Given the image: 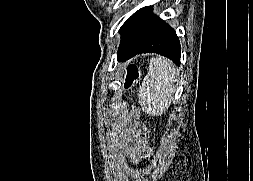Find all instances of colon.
<instances>
[{"label": "colon", "instance_id": "obj_1", "mask_svg": "<svg viewBox=\"0 0 253 181\" xmlns=\"http://www.w3.org/2000/svg\"><path fill=\"white\" fill-rule=\"evenodd\" d=\"M139 75H140V72H139L138 66L135 64H130L127 67V76L124 82V86L126 88L131 87L135 83V81L138 79Z\"/></svg>", "mask_w": 253, "mask_h": 181}]
</instances>
